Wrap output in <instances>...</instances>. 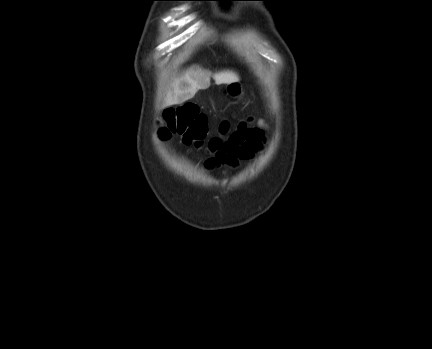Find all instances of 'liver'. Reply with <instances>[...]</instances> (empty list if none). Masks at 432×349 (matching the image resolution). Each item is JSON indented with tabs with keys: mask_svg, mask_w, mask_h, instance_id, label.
Segmentation results:
<instances>
[{
	"mask_svg": "<svg viewBox=\"0 0 432 349\" xmlns=\"http://www.w3.org/2000/svg\"><path fill=\"white\" fill-rule=\"evenodd\" d=\"M210 77V72L198 66L188 68L170 83L164 106L177 105L192 99L200 89L210 85ZM212 77L217 85L239 81L238 75L232 71H221Z\"/></svg>",
	"mask_w": 432,
	"mask_h": 349,
	"instance_id": "1",
	"label": "liver"
}]
</instances>
